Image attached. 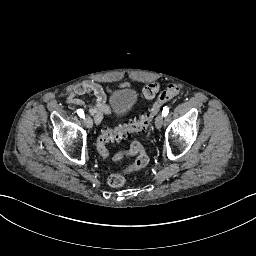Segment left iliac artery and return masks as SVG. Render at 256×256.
<instances>
[{"mask_svg": "<svg viewBox=\"0 0 256 256\" xmlns=\"http://www.w3.org/2000/svg\"><path fill=\"white\" fill-rule=\"evenodd\" d=\"M168 113H169V108H168L167 106H165V107L163 108L162 115L165 117V116L168 115Z\"/></svg>", "mask_w": 256, "mask_h": 256, "instance_id": "left-iliac-artery-1", "label": "left iliac artery"}]
</instances>
